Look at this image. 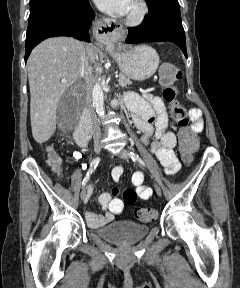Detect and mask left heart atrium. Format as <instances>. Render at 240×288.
<instances>
[{
    "label": "left heart atrium",
    "instance_id": "1",
    "mask_svg": "<svg viewBox=\"0 0 240 288\" xmlns=\"http://www.w3.org/2000/svg\"><path fill=\"white\" fill-rule=\"evenodd\" d=\"M94 2L101 10L115 15L128 13L132 4V0H94Z\"/></svg>",
    "mask_w": 240,
    "mask_h": 288
}]
</instances>
